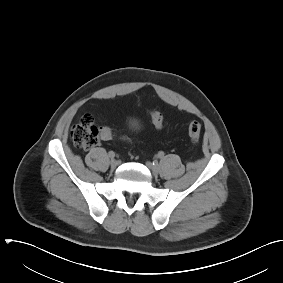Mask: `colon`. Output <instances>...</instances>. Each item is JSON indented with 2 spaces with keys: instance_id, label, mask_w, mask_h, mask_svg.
Returning a JSON list of instances; mask_svg holds the SVG:
<instances>
[{
  "instance_id": "colon-1",
  "label": "colon",
  "mask_w": 283,
  "mask_h": 283,
  "mask_svg": "<svg viewBox=\"0 0 283 283\" xmlns=\"http://www.w3.org/2000/svg\"><path fill=\"white\" fill-rule=\"evenodd\" d=\"M149 116L156 129L160 130L164 127L163 117L158 111H150ZM187 131L190 141L193 144H197L201 137V124L198 121H192L188 124ZM70 137L73 144L81 149L94 147L100 139L110 142L117 138L110 127L104 126L97 128L92 116L89 114H84L80 120L71 127Z\"/></svg>"
}]
</instances>
